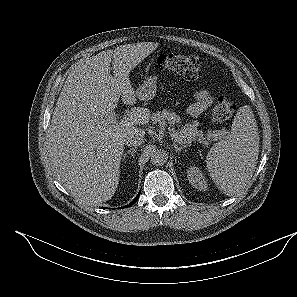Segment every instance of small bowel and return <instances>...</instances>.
Instances as JSON below:
<instances>
[{
  "label": "small bowel",
  "instance_id": "c3829d8e",
  "mask_svg": "<svg viewBox=\"0 0 297 297\" xmlns=\"http://www.w3.org/2000/svg\"><path fill=\"white\" fill-rule=\"evenodd\" d=\"M213 95L207 90H198L194 94V102L188 107V114L196 117L212 105Z\"/></svg>",
  "mask_w": 297,
  "mask_h": 297
}]
</instances>
